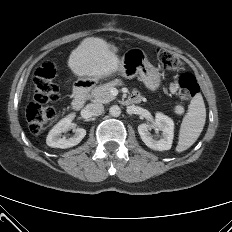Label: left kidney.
<instances>
[{"label": "left kidney", "instance_id": "obj_1", "mask_svg": "<svg viewBox=\"0 0 232 232\" xmlns=\"http://www.w3.org/2000/svg\"><path fill=\"white\" fill-rule=\"evenodd\" d=\"M151 129L162 131V138H154L150 133ZM138 132L146 146L153 150L164 151L171 149L174 137V122L168 116L158 112L155 115L153 124L143 123L138 126Z\"/></svg>", "mask_w": 232, "mask_h": 232}]
</instances>
